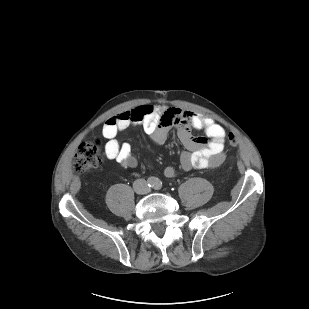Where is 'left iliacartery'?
Returning <instances> with one entry per match:
<instances>
[{
    "label": "left iliac artery",
    "mask_w": 309,
    "mask_h": 309,
    "mask_svg": "<svg viewBox=\"0 0 309 309\" xmlns=\"http://www.w3.org/2000/svg\"><path fill=\"white\" fill-rule=\"evenodd\" d=\"M161 187H162V182L159 181V180H157V181L155 182V188H156V189H161Z\"/></svg>",
    "instance_id": "1"
}]
</instances>
